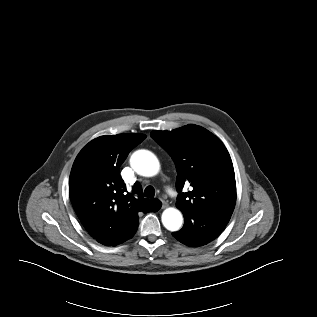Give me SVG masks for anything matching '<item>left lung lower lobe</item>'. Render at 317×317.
Segmentation results:
<instances>
[{
    "instance_id": "left-lung-lower-lobe-1",
    "label": "left lung lower lobe",
    "mask_w": 317,
    "mask_h": 317,
    "mask_svg": "<svg viewBox=\"0 0 317 317\" xmlns=\"http://www.w3.org/2000/svg\"><path fill=\"white\" fill-rule=\"evenodd\" d=\"M230 217L214 211L184 214V227L178 232H173L172 235L187 246H203L219 236Z\"/></svg>"
}]
</instances>
